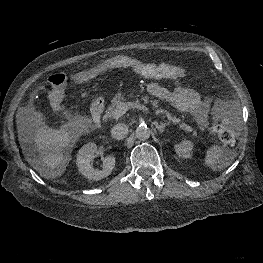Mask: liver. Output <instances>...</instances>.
<instances>
[{
	"instance_id": "1",
	"label": "liver",
	"mask_w": 263,
	"mask_h": 263,
	"mask_svg": "<svg viewBox=\"0 0 263 263\" xmlns=\"http://www.w3.org/2000/svg\"><path fill=\"white\" fill-rule=\"evenodd\" d=\"M16 122L19 141L22 143L26 134L31 135L39 151L40 160L35 162L34 168L47 179L61 176L70 161L67 149L79 135L76 125L60 129L39 126L25 122L20 111L16 115Z\"/></svg>"
}]
</instances>
